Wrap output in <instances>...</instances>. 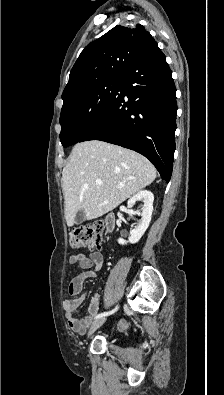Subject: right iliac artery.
<instances>
[{
	"label": "right iliac artery",
	"instance_id": "obj_1",
	"mask_svg": "<svg viewBox=\"0 0 224 395\" xmlns=\"http://www.w3.org/2000/svg\"><path fill=\"white\" fill-rule=\"evenodd\" d=\"M118 308H119V307H118V305H117L113 310H111V311H109V312L100 313V314L96 315L94 318H95V319H99V318H102V317L111 315V314L115 313V312L118 310Z\"/></svg>",
	"mask_w": 224,
	"mask_h": 395
}]
</instances>
